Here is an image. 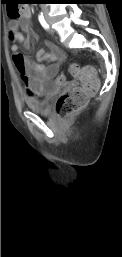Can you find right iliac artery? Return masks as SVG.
<instances>
[{
	"label": "right iliac artery",
	"instance_id": "82829eb1",
	"mask_svg": "<svg viewBox=\"0 0 122 257\" xmlns=\"http://www.w3.org/2000/svg\"><path fill=\"white\" fill-rule=\"evenodd\" d=\"M39 22L41 23V25L45 28L48 29L49 25L47 24V22L45 21L44 17L42 14L39 15Z\"/></svg>",
	"mask_w": 122,
	"mask_h": 257
}]
</instances>
